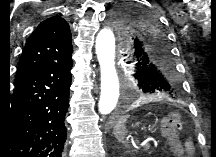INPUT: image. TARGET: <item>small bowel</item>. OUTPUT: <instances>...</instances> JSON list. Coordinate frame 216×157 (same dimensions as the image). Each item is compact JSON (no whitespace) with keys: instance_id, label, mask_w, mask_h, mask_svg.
<instances>
[{"instance_id":"c3829d8e","label":"small bowel","mask_w":216,"mask_h":157,"mask_svg":"<svg viewBox=\"0 0 216 157\" xmlns=\"http://www.w3.org/2000/svg\"><path fill=\"white\" fill-rule=\"evenodd\" d=\"M184 147H185L186 155L191 156L193 154L194 148H193V143L190 139L185 140Z\"/></svg>"}]
</instances>
